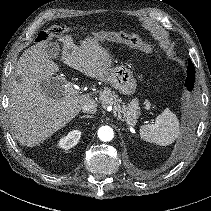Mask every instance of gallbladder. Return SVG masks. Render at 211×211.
Listing matches in <instances>:
<instances>
[{
    "label": "gallbladder",
    "instance_id": "bac80fb5",
    "mask_svg": "<svg viewBox=\"0 0 211 211\" xmlns=\"http://www.w3.org/2000/svg\"><path fill=\"white\" fill-rule=\"evenodd\" d=\"M45 51L50 59L57 60L59 59L60 45L58 42H54V41L49 42L45 48ZM60 83H62V80L60 79L51 80V82L44 85V90L46 91L48 95L55 96V93L51 92L50 89L53 85L60 84Z\"/></svg>",
    "mask_w": 211,
    "mask_h": 211
}]
</instances>
